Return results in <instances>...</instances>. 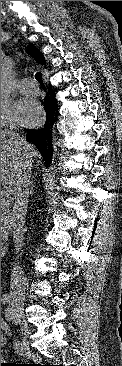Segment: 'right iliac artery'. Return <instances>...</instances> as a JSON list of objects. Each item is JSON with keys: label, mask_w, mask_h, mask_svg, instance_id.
<instances>
[{"label": "right iliac artery", "mask_w": 122, "mask_h": 366, "mask_svg": "<svg viewBox=\"0 0 122 366\" xmlns=\"http://www.w3.org/2000/svg\"><path fill=\"white\" fill-rule=\"evenodd\" d=\"M1 301H2L4 304L9 303V302H10V296H9V295H7V294L3 295V296H2V298H1Z\"/></svg>", "instance_id": "1"}]
</instances>
